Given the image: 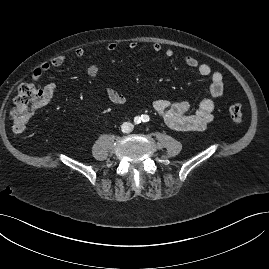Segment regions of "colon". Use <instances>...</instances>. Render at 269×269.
Listing matches in <instances>:
<instances>
[{
  "label": "colon",
  "mask_w": 269,
  "mask_h": 269,
  "mask_svg": "<svg viewBox=\"0 0 269 269\" xmlns=\"http://www.w3.org/2000/svg\"><path fill=\"white\" fill-rule=\"evenodd\" d=\"M42 99V90L36 85L24 83L19 86L10 112L12 130L14 133L19 134L25 130L35 111L43 105ZM229 114L235 124L242 123V107L239 103L231 104Z\"/></svg>",
  "instance_id": "1"
}]
</instances>
